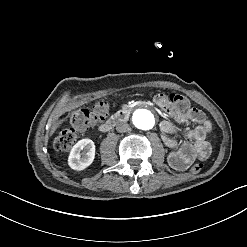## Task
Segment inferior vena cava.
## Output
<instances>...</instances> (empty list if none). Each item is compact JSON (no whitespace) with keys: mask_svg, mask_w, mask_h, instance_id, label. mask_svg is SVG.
<instances>
[{"mask_svg":"<svg viewBox=\"0 0 247 247\" xmlns=\"http://www.w3.org/2000/svg\"><path fill=\"white\" fill-rule=\"evenodd\" d=\"M116 130L117 132H120V133L127 132L128 130H130V126L127 123L119 122L116 125Z\"/></svg>","mask_w":247,"mask_h":247,"instance_id":"602c4592","label":"inferior vena cava"}]
</instances>
